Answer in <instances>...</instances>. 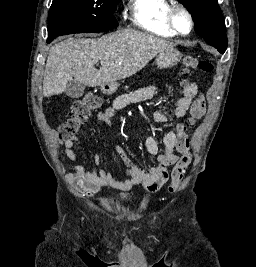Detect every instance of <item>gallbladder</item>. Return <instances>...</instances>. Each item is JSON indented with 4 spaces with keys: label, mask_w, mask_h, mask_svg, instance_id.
<instances>
[{
    "label": "gallbladder",
    "mask_w": 256,
    "mask_h": 267,
    "mask_svg": "<svg viewBox=\"0 0 256 267\" xmlns=\"http://www.w3.org/2000/svg\"><path fill=\"white\" fill-rule=\"evenodd\" d=\"M85 86L82 82H77V80H70L68 84H66L65 94L69 96V98H81L82 94H84Z\"/></svg>",
    "instance_id": "bac80fb5"
}]
</instances>
